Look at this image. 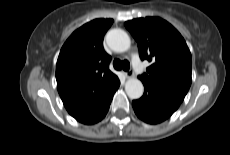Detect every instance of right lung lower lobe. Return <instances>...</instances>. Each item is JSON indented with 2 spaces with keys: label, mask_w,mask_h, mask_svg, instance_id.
Wrapping results in <instances>:
<instances>
[{
  "label": "right lung lower lobe",
  "mask_w": 230,
  "mask_h": 155,
  "mask_svg": "<svg viewBox=\"0 0 230 155\" xmlns=\"http://www.w3.org/2000/svg\"><path fill=\"white\" fill-rule=\"evenodd\" d=\"M119 85H120V81L118 80L116 82V84L114 85V88H113L111 94L109 95V97L104 102H102L100 105H98V106H96V107H94V108H92V109H90V110H88L82 114L74 116V118L83 124H94V123L102 120L108 112V109H109L110 103L112 101L113 95L116 92V90L119 88Z\"/></svg>",
  "instance_id": "obj_1"
}]
</instances>
